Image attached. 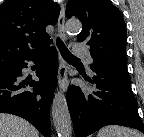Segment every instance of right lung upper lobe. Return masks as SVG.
Here are the masks:
<instances>
[{
  "label": "right lung upper lobe",
  "mask_w": 144,
  "mask_h": 137,
  "mask_svg": "<svg viewBox=\"0 0 144 137\" xmlns=\"http://www.w3.org/2000/svg\"><path fill=\"white\" fill-rule=\"evenodd\" d=\"M60 7L51 0H5L0 5V72L46 47V26L57 22Z\"/></svg>",
  "instance_id": "right-lung-upper-lobe-1"
}]
</instances>
